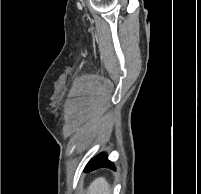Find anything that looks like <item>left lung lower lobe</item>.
Here are the masks:
<instances>
[{"label": "left lung lower lobe", "instance_id": "left-lung-lower-lobe-1", "mask_svg": "<svg viewBox=\"0 0 201 194\" xmlns=\"http://www.w3.org/2000/svg\"><path fill=\"white\" fill-rule=\"evenodd\" d=\"M100 167H110L114 168L112 162L108 161L105 153H101L97 155L94 159H92L85 168V172H90Z\"/></svg>", "mask_w": 201, "mask_h": 194}]
</instances>
